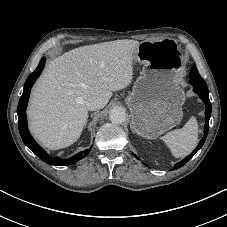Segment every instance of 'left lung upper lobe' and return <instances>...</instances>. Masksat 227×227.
<instances>
[{
	"instance_id": "5c2ea615",
	"label": "left lung upper lobe",
	"mask_w": 227,
	"mask_h": 227,
	"mask_svg": "<svg viewBox=\"0 0 227 227\" xmlns=\"http://www.w3.org/2000/svg\"><path fill=\"white\" fill-rule=\"evenodd\" d=\"M192 80H196L197 82H199L203 86H206V83L202 79V77L199 75L196 66H193L192 69H191V72H190V81H192Z\"/></svg>"
}]
</instances>
